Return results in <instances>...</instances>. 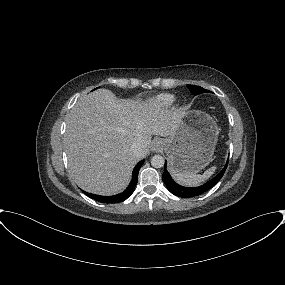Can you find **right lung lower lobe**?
<instances>
[{
	"label": "right lung lower lobe",
	"instance_id": "obj_1",
	"mask_svg": "<svg viewBox=\"0 0 285 285\" xmlns=\"http://www.w3.org/2000/svg\"><path fill=\"white\" fill-rule=\"evenodd\" d=\"M144 163V160L140 161L136 167L133 170L132 173V180L130 182V184L128 185V187L126 188V190H124L122 193L117 194V195H113V196H101V195H95V194H91V193H87L84 192L88 197L102 202V203H119L121 201L126 200L133 192L135 189V186L137 184V180H138V173H139V169L142 166V164Z\"/></svg>",
	"mask_w": 285,
	"mask_h": 285
}]
</instances>
